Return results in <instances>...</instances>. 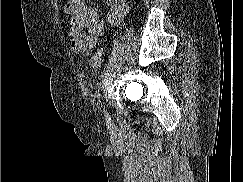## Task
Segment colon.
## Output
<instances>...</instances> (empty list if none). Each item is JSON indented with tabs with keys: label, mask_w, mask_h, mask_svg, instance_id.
I'll use <instances>...</instances> for the list:
<instances>
[{
	"label": "colon",
	"mask_w": 243,
	"mask_h": 182,
	"mask_svg": "<svg viewBox=\"0 0 243 182\" xmlns=\"http://www.w3.org/2000/svg\"><path fill=\"white\" fill-rule=\"evenodd\" d=\"M104 56V50L102 48H98L92 55L90 64L93 68H99L102 64Z\"/></svg>",
	"instance_id": "5ec220e1"
}]
</instances>
